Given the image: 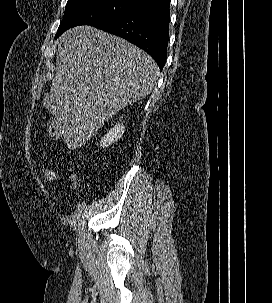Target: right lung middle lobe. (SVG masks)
I'll return each mask as SVG.
<instances>
[{"instance_id": "right-lung-middle-lobe-1", "label": "right lung middle lobe", "mask_w": 272, "mask_h": 303, "mask_svg": "<svg viewBox=\"0 0 272 303\" xmlns=\"http://www.w3.org/2000/svg\"><path fill=\"white\" fill-rule=\"evenodd\" d=\"M138 8L129 0H68L55 38L78 25H93Z\"/></svg>"}]
</instances>
